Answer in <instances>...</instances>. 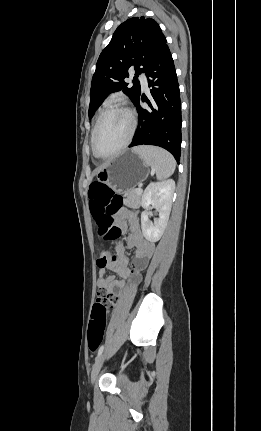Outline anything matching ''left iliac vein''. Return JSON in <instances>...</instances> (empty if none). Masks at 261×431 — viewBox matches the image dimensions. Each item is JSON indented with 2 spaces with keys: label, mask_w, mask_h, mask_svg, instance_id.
Returning a JSON list of instances; mask_svg holds the SVG:
<instances>
[{
  "label": "left iliac vein",
  "mask_w": 261,
  "mask_h": 431,
  "mask_svg": "<svg viewBox=\"0 0 261 431\" xmlns=\"http://www.w3.org/2000/svg\"><path fill=\"white\" fill-rule=\"evenodd\" d=\"M106 357H107V352H104L103 354H101L98 357L95 364L93 365L92 372H91V383L92 384L95 383Z\"/></svg>",
  "instance_id": "obj_1"
}]
</instances>
